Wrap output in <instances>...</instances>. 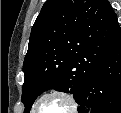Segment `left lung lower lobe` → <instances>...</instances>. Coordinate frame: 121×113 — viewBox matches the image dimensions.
<instances>
[{
  "label": "left lung lower lobe",
  "instance_id": "0a47b994",
  "mask_svg": "<svg viewBox=\"0 0 121 113\" xmlns=\"http://www.w3.org/2000/svg\"><path fill=\"white\" fill-rule=\"evenodd\" d=\"M79 113H121V29L79 98Z\"/></svg>",
  "mask_w": 121,
  "mask_h": 113
}]
</instances>
